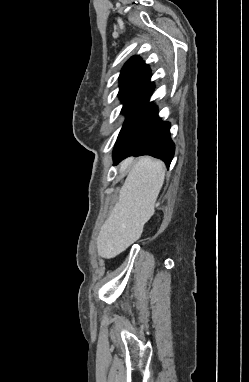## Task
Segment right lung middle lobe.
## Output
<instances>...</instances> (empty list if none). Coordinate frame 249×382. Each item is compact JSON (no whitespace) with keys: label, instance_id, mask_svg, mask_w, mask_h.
<instances>
[{"label":"right lung middle lobe","instance_id":"right-lung-middle-lobe-1","mask_svg":"<svg viewBox=\"0 0 249 382\" xmlns=\"http://www.w3.org/2000/svg\"><path fill=\"white\" fill-rule=\"evenodd\" d=\"M151 106L152 105L147 103H125L122 108V113L126 115V120L119 137L125 134L137 121H139Z\"/></svg>","mask_w":249,"mask_h":382}]
</instances>
